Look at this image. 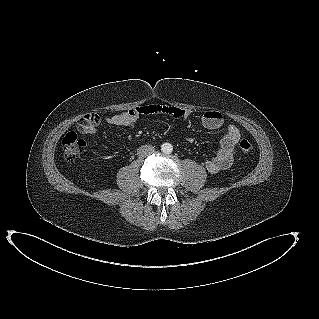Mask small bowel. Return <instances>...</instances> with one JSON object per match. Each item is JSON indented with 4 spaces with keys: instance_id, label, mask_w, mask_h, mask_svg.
<instances>
[{
    "instance_id": "small-bowel-1",
    "label": "small bowel",
    "mask_w": 319,
    "mask_h": 319,
    "mask_svg": "<svg viewBox=\"0 0 319 319\" xmlns=\"http://www.w3.org/2000/svg\"><path fill=\"white\" fill-rule=\"evenodd\" d=\"M162 114L173 118L187 121L191 112L188 109L160 105V104H146L133 107L125 112L107 116L102 119L96 114L93 115V120L77 125L78 131L85 135H95L98 131L99 125L102 121L112 126H125L133 128L142 115ZM202 125L209 130H218L224 125V118L218 111H207L202 116ZM189 141L194 140V137L189 135ZM241 138L240 130L235 125H228L226 132L220 141V147L216 154L205 161L206 169L211 173H217L228 169L235 157L236 149Z\"/></svg>"
}]
</instances>
